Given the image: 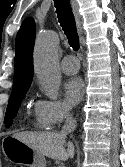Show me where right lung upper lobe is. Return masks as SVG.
Instances as JSON below:
<instances>
[{"instance_id":"right-lung-upper-lobe-1","label":"right lung upper lobe","mask_w":125,"mask_h":167,"mask_svg":"<svg viewBox=\"0 0 125 167\" xmlns=\"http://www.w3.org/2000/svg\"><path fill=\"white\" fill-rule=\"evenodd\" d=\"M35 22L25 19L16 36L14 79L12 93L29 89L33 79V46L35 41Z\"/></svg>"}]
</instances>
